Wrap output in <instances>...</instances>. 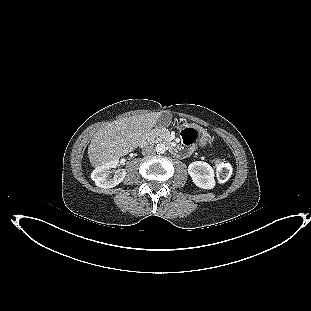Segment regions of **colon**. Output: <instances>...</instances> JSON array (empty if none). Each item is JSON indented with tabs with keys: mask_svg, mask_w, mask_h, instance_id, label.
Wrapping results in <instances>:
<instances>
[{
	"mask_svg": "<svg viewBox=\"0 0 311 311\" xmlns=\"http://www.w3.org/2000/svg\"><path fill=\"white\" fill-rule=\"evenodd\" d=\"M197 133L193 132L191 129H185L183 131V140L186 144L193 143ZM231 175V166L226 161H218L216 163V177L218 182H225Z\"/></svg>",
	"mask_w": 311,
	"mask_h": 311,
	"instance_id": "obj_1",
	"label": "colon"
}]
</instances>
